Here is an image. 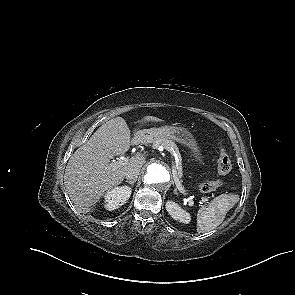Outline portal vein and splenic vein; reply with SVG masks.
Returning <instances> with one entry per match:
<instances>
[{
	"mask_svg": "<svg viewBox=\"0 0 295 295\" xmlns=\"http://www.w3.org/2000/svg\"><path fill=\"white\" fill-rule=\"evenodd\" d=\"M128 161H129V157H121L118 161L114 162V165L119 167V166L127 164ZM174 181H175L176 187L179 190V192L184 195H187V192L184 190L180 181L175 177V175H174ZM201 199H202L203 203H208V201H209V199L207 197H201Z\"/></svg>",
	"mask_w": 295,
	"mask_h": 295,
	"instance_id": "18ae733b",
	"label": "portal vein and splenic vein"
}]
</instances>
